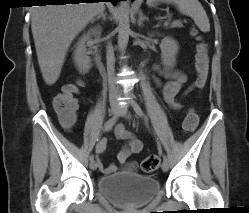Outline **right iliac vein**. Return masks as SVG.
Listing matches in <instances>:
<instances>
[{"label":"right iliac vein","mask_w":249,"mask_h":213,"mask_svg":"<svg viewBox=\"0 0 249 213\" xmlns=\"http://www.w3.org/2000/svg\"><path fill=\"white\" fill-rule=\"evenodd\" d=\"M111 113L113 115H117L119 113V107L117 104H112L111 105ZM89 167L91 170H96L97 169V163L93 160L90 162Z\"/></svg>","instance_id":"right-iliac-vein-1"}]
</instances>
